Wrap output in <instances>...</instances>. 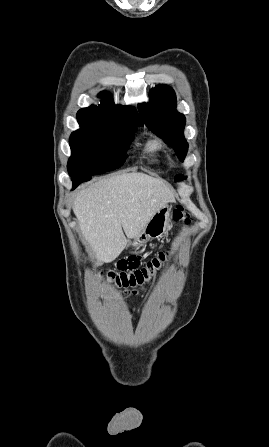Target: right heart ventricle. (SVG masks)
I'll list each match as a JSON object with an SVG mask.
<instances>
[{
	"label": "right heart ventricle",
	"instance_id": "obj_1",
	"mask_svg": "<svg viewBox=\"0 0 269 447\" xmlns=\"http://www.w3.org/2000/svg\"><path fill=\"white\" fill-rule=\"evenodd\" d=\"M151 150H159L161 148V142L159 140H154L149 144Z\"/></svg>",
	"mask_w": 269,
	"mask_h": 447
}]
</instances>
